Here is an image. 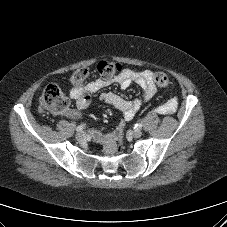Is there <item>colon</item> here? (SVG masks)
Masks as SVG:
<instances>
[{
	"label": "colon",
	"instance_id": "colon-1",
	"mask_svg": "<svg viewBox=\"0 0 227 227\" xmlns=\"http://www.w3.org/2000/svg\"><path fill=\"white\" fill-rule=\"evenodd\" d=\"M96 69L101 78L111 79L121 72L122 66L112 61H100ZM88 74L89 72L86 68H80L74 71L70 78L72 85L76 87L82 86ZM153 77L159 87L164 88L169 84V78L164 72H155ZM68 107L69 99L57 85L49 84L46 86L38 105L41 113L61 115L67 111ZM120 150L121 146L118 147L117 151L120 152Z\"/></svg>",
	"mask_w": 227,
	"mask_h": 227
}]
</instances>
